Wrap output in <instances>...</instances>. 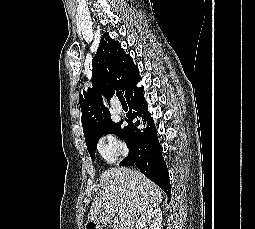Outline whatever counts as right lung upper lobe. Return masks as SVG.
<instances>
[{
    "mask_svg": "<svg viewBox=\"0 0 255 229\" xmlns=\"http://www.w3.org/2000/svg\"><path fill=\"white\" fill-rule=\"evenodd\" d=\"M92 67L93 88L83 91L79 98L85 141L92 137L104 121L111 118L109 110L103 106L101 95L109 101L115 90L125 92L136 68L130 55L108 33L102 36Z\"/></svg>",
    "mask_w": 255,
    "mask_h": 229,
    "instance_id": "1",
    "label": "right lung upper lobe"
}]
</instances>
